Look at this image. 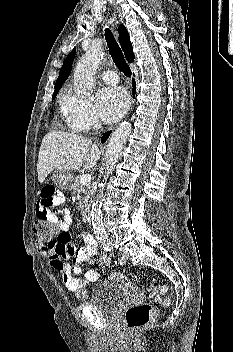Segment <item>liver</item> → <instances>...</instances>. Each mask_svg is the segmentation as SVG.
Segmentation results:
<instances>
[{"label":"liver","mask_w":233,"mask_h":352,"mask_svg":"<svg viewBox=\"0 0 233 352\" xmlns=\"http://www.w3.org/2000/svg\"><path fill=\"white\" fill-rule=\"evenodd\" d=\"M101 151L90 139L76 134L52 130L41 143L37 172L38 180L43 183L55 170L73 171L93 168L100 159Z\"/></svg>","instance_id":"6515ba94"}]
</instances>
